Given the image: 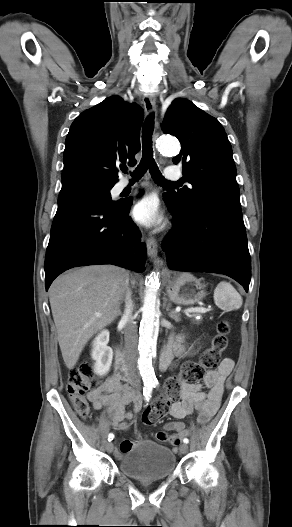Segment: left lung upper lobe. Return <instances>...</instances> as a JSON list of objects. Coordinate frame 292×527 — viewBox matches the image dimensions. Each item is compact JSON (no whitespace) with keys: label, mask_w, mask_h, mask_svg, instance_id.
<instances>
[{"label":"left lung upper lobe","mask_w":292,"mask_h":527,"mask_svg":"<svg viewBox=\"0 0 292 527\" xmlns=\"http://www.w3.org/2000/svg\"><path fill=\"white\" fill-rule=\"evenodd\" d=\"M162 129L179 139L181 151L173 162L183 165V178L193 186L164 194V200L182 215L202 207L241 209L232 148L219 121L191 101L177 98Z\"/></svg>","instance_id":"obj_1"}]
</instances>
